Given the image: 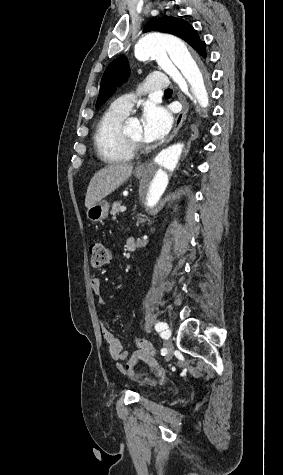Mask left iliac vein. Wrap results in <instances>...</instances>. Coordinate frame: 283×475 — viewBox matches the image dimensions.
<instances>
[{"instance_id": "obj_1", "label": "left iliac vein", "mask_w": 283, "mask_h": 475, "mask_svg": "<svg viewBox=\"0 0 283 475\" xmlns=\"http://www.w3.org/2000/svg\"><path fill=\"white\" fill-rule=\"evenodd\" d=\"M171 334V330L170 328L168 327L166 330H164L163 332V335L165 336V338H168ZM165 348L167 349L168 351V355L166 356V360H169L172 356V353H173V346L171 345V343L169 341H165Z\"/></svg>"}]
</instances>
